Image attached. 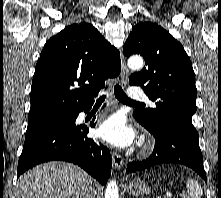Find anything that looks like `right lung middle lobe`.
Segmentation results:
<instances>
[{
  "label": "right lung middle lobe",
  "mask_w": 221,
  "mask_h": 198,
  "mask_svg": "<svg viewBox=\"0 0 221 198\" xmlns=\"http://www.w3.org/2000/svg\"><path fill=\"white\" fill-rule=\"evenodd\" d=\"M76 114H60L44 118L38 121L28 123L25 138L32 136L33 134L42 130L52 128L55 126H68L75 122Z\"/></svg>",
  "instance_id": "1"
}]
</instances>
